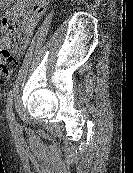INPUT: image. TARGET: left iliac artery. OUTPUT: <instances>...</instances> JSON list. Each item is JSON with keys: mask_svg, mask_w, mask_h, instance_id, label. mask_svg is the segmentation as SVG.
Returning a JSON list of instances; mask_svg holds the SVG:
<instances>
[{"mask_svg": "<svg viewBox=\"0 0 133 173\" xmlns=\"http://www.w3.org/2000/svg\"><path fill=\"white\" fill-rule=\"evenodd\" d=\"M13 90H9L6 97V113L10 124H15V117L12 110Z\"/></svg>", "mask_w": 133, "mask_h": 173, "instance_id": "1", "label": "left iliac artery"}]
</instances>
